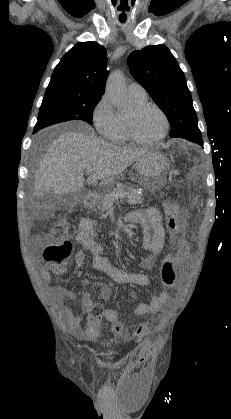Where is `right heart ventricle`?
<instances>
[{
  "instance_id": "right-heart-ventricle-1",
  "label": "right heart ventricle",
  "mask_w": 231,
  "mask_h": 419,
  "mask_svg": "<svg viewBox=\"0 0 231 419\" xmlns=\"http://www.w3.org/2000/svg\"><path fill=\"white\" fill-rule=\"evenodd\" d=\"M129 99L132 105L135 107L137 105L143 104L146 102V98H140L129 94ZM127 114L119 113V124H120V133L117 139L115 140L118 143H124L130 140L127 128Z\"/></svg>"
}]
</instances>
